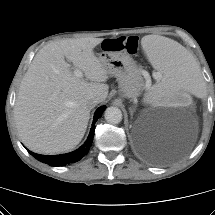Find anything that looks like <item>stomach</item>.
<instances>
[{"instance_id":"0dacf381","label":"stomach","mask_w":215,"mask_h":215,"mask_svg":"<svg viewBox=\"0 0 215 215\" xmlns=\"http://www.w3.org/2000/svg\"><path fill=\"white\" fill-rule=\"evenodd\" d=\"M98 58L108 74L116 77L123 97L134 99L139 96L144 79L141 68L129 54L122 51H103Z\"/></svg>"}]
</instances>
